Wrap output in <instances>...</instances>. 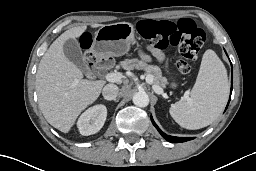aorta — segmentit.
<instances>
[{"label": "aorta", "mask_w": 256, "mask_h": 171, "mask_svg": "<svg viewBox=\"0 0 256 171\" xmlns=\"http://www.w3.org/2000/svg\"><path fill=\"white\" fill-rule=\"evenodd\" d=\"M133 103L138 107H146L149 104V96L146 92H137L133 96Z\"/></svg>", "instance_id": "obj_1"}]
</instances>
